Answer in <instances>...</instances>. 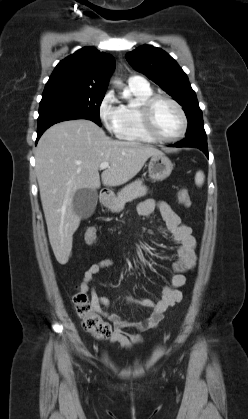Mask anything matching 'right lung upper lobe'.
Masks as SVG:
<instances>
[{
    "label": "right lung upper lobe",
    "mask_w": 248,
    "mask_h": 419,
    "mask_svg": "<svg viewBox=\"0 0 248 419\" xmlns=\"http://www.w3.org/2000/svg\"><path fill=\"white\" fill-rule=\"evenodd\" d=\"M115 60L93 47H84L59 62L45 88H82L106 92Z\"/></svg>",
    "instance_id": "1"
}]
</instances>
